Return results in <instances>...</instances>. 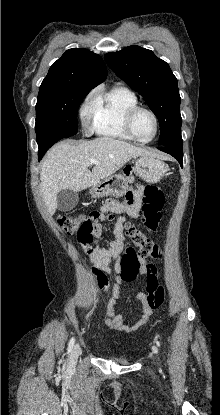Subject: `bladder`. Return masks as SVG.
Wrapping results in <instances>:
<instances>
[{
    "label": "bladder",
    "mask_w": 220,
    "mask_h": 415,
    "mask_svg": "<svg viewBox=\"0 0 220 415\" xmlns=\"http://www.w3.org/2000/svg\"><path fill=\"white\" fill-rule=\"evenodd\" d=\"M113 360L115 361V362H117V363H119V364H122V365H127V364H129V361L127 360V359H125V358H113Z\"/></svg>",
    "instance_id": "1"
}]
</instances>
